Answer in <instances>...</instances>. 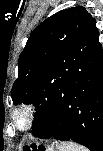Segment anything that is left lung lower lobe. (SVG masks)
I'll return each instance as SVG.
<instances>
[{"instance_id":"0a47b994","label":"left lung lower lobe","mask_w":103,"mask_h":151,"mask_svg":"<svg viewBox=\"0 0 103 151\" xmlns=\"http://www.w3.org/2000/svg\"><path fill=\"white\" fill-rule=\"evenodd\" d=\"M55 69L56 79L40 78L33 90L34 135L103 151V51L96 25L58 58Z\"/></svg>"}]
</instances>
